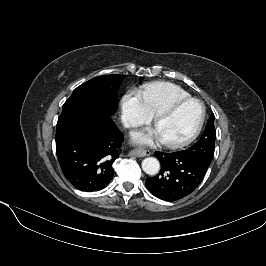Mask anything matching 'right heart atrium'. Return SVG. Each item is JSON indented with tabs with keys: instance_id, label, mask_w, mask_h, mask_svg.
Returning a JSON list of instances; mask_svg holds the SVG:
<instances>
[{
	"instance_id": "obj_1",
	"label": "right heart atrium",
	"mask_w": 266,
	"mask_h": 266,
	"mask_svg": "<svg viewBox=\"0 0 266 266\" xmlns=\"http://www.w3.org/2000/svg\"><path fill=\"white\" fill-rule=\"evenodd\" d=\"M121 119L126 127H136L152 119L141 93L133 89L125 93L121 100Z\"/></svg>"
}]
</instances>
